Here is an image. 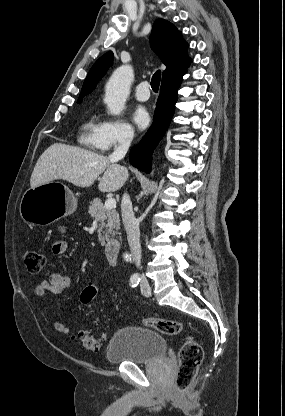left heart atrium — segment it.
<instances>
[{
	"label": "left heart atrium",
	"mask_w": 285,
	"mask_h": 416,
	"mask_svg": "<svg viewBox=\"0 0 285 416\" xmlns=\"http://www.w3.org/2000/svg\"><path fill=\"white\" fill-rule=\"evenodd\" d=\"M132 119L134 124L139 128L143 129L149 122V115L143 107H137L133 111Z\"/></svg>",
	"instance_id": "obj_1"
}]
</instances>
